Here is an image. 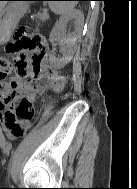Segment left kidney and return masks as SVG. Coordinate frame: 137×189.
Masks as SVG:
<instances>
[{"label":"left kidney","instance_id":"5707ae66","mask_svg":"<svg viewBox=\"0 0 137 189\" xmlns=\"http://www.w3.org/2000/svg\"><path fill=\"white\" fill-rule=\"evenodd\" d=\"M82 18L81 12L74 10L73 8L67 9L62 13L59 21L55 24L50 38L51 40H57L61 46V58H56L53 54L50 55V62L59 67L66 65L73 57V53L65 46L68 43V39L64 36V29L66 23L70 19H80Z\"/></svg>","mask_w":137,"mask_h":189}]
</instances>
